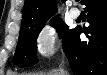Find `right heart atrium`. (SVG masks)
<instances>
[{"label": "right heart atrium", "mask_w": 107, "mask_h": 75, "mask_svg": "<svg viewBox=\"0 0 107 75\" xmlns=\"http://www.w3.org/2000/svg\"><path fill=\"white\" fill-rule=\"evenodd\" d=\"M36 51L41 58H50L59 46V35L51 23H46L41 27L36 35Z\"/></svg>", "instance_id": "right-heart-atrium-1"}]
</instances>
